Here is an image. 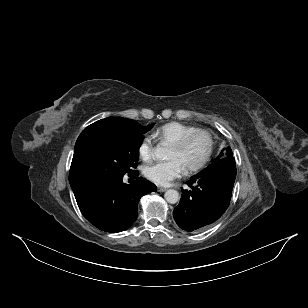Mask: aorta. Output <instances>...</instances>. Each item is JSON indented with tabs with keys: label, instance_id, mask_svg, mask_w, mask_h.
<instances>
[{
	"label": "aorta",
	"instance_id": "obj_1",
	"mask_svg": "<svg viewBox=\"0 0 308 308\" xmlns=\"http://www.w3.org/2000/svg\"><path fill=\"white\" fill-rule=\"evenodd\" d=\"M154 154L157 158L164 160L167 158L168 150L164 146H158ZM164 197L168 203L175 204L179 200V193L174 189H169L165 192Z\"/></svg>",
	"mask_w": 308,
	"mask_h": 308
}]
</instances>
